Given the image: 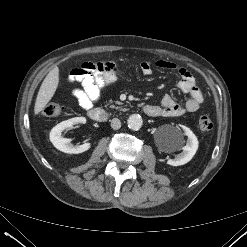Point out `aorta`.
<instances>
[{
	"label": "aorta",
	"mask_w": 247,
	"mask_h": 247,
	"mask_svg": "<svg viewBox=\"0 0 247 247\" xmlns=\"http://www.w3.org/2000/svg\"><path fill=\"white\" fill-rule=\"evenodd\" d=\"M127 124L131 130L137 131L142 127L143 120H142L140 115L132 114L129 116V118L127 120Z\"/></svg>",
	"instance_id": "1"
}]
</instances>
